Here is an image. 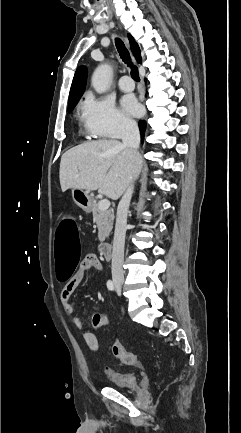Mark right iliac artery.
<instances>
[{
	"label": "right iliac artery",
	"instance_id": "right-iliac-artery-1",
	"mask_svg": "<svg viewBox=\"0 0 241 433\" xmlns=\"http://www.w3.org/2000/svg\"><path fill=\"white\" fill-rule=\"evenodd\" d=\"M107 287H108V289L111 290V291H113L114 288H115L114 283H113L111 280H108V282H107Z\"/></svg>",
	"mask_w": 241,
	"mask_h": 433
}]
</instances>
